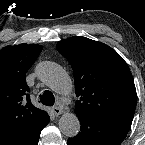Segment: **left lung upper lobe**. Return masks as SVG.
<instances>
[{
	"instance_id": "left-lung-upper-lobe-1",
	"label": "left lung upper lobe",
	"mask_w": 145,
	"mask_h": 145,
	"mask_svg": "<svg viewBox=\"0 0 145 145\" xmlns=\"http://www.w3.org/2000/svg\"><path fill=\"white\" fill-rule=\"evenodd\" d=\"M56 48L74 72L79 97L76 114L133 118L137 102L134 80L114 49L86 37L62 40Z\"/></svg>"
}]
</instances>
